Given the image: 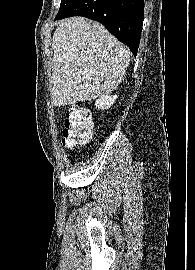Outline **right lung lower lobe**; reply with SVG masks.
I'll return each mask as SVG.
<instances>
[{
  "mask_svg": "<svg viewBox=\"0 0 195 270\" xmlns=\"http://www.w3.org/2000/svg\"><path fill=\"white\" fill-rule=\"evenodd\" d=\"M83 16L102 23L136 56L144 19V0H74L55 20Z\"/></svg>",
  "mask_w": 195,
  "mask_h": 270,
  "instance_id": "98d812e1",
  "label": "right lung lower lobe"
}]
</instances>
